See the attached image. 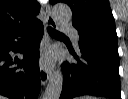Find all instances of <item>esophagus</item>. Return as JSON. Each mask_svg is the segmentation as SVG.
Here are the masks:
<instances>
[{
  "label": "esophagus",
  "mask_w": 128,
  "mask_h": 99,
  "mask_svg": "<svg viewBox=\"0 0 128 99\" xmlns=\"http://www.w3.org/2000/svg\"><path fill=\"white\" fill-rule=\"evenodd\" d=\"M45 14H46V25L52 28H56L57 24L56 21L54 20V18L52 17L51 14V9L50 6L47 5L45 8ZM45 43H49V37H48V33L47 31H45ZM50 77V72L49 70L46 68L45 65H43L42 63L40 64V80L41 83L43 85H45Z\"/></svg>",
  "instance_id": "1"
}]
</instances>
